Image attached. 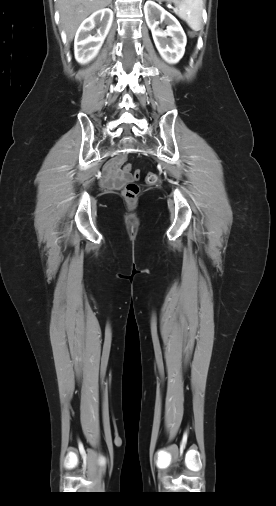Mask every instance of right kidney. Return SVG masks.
<instances>
[{"label": "right kidney", "mask_w": 276, "mask_h": 506, "mask_svg": "<svg viewBox=\"0 0 276 506\" xmlns=\"http://www.w3.org/2000/svg\"><path fill=\"white\" fill-rule=\"evenodd\" d=\"M113 21V11L109 8L97 10L85 19L78 28L74 40V52L76 60L85 64L94 59L98 54ZM99 25L97 33L90 32Z\"/></svg>", "instance_id": "obj_1"}]
</instances>
